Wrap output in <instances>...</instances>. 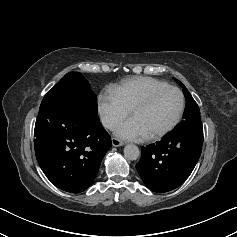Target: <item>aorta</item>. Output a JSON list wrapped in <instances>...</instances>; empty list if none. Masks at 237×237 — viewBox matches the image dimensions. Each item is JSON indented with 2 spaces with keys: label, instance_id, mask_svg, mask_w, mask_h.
I'll return each instance as SVG.
<instances>
[{
  "label": "aorta",
  "instance_id": "obj_1",
  "mask_svg": "<svg viewBox=\"0 0 237 237\" xmlns=\"http://www.w3.org/2000/svg\"><path fill=\"white\" fill-rule=\"evenodd\" d=\"M140 155L139 148L134 144H128L124 147V156L128 160H136Z\"/></svg>",
  "mask_w": 237,
  "mask_h": 237
}]
</instances>
